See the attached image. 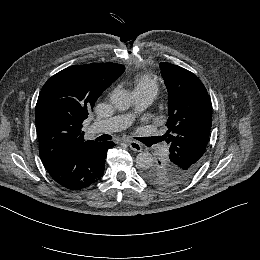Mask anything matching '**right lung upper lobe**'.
<instances>
[{"mask_svg":"<svg viewBox=\"0 0 260 260\" xmlns=\"http://www.w3.org/2000/svg\"><path fill=\"white\" fill-rule=\"evenodd\" d=\"M116 63L68 67L42 87L35 109L40 157L52 170L85 144L82 123L102 92L124 71Z\"/></svg>","mask_w":260,"mask_h":260,"instance_id":"1","label":"right lung upper lobe"}]
</instances>
